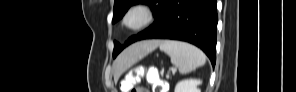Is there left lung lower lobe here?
Listing matches in <instances>:
<instances>
[{"mask_svg": "<svg viewBox=\"0 0 296 92\" xmlns=\"http://www.w3.org/2000/svg\"><path fill=\"white\" fill-rule=\"evenodd\" d=\"M216 0H169L163 23L143 39H174L192 43L216 61Z\"/></svg>", "mask_w": 296, "mask_h": 92, "instance_id": "1", "label": "left lung lower lobe"}]
</instances>
